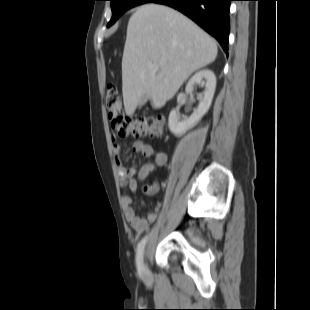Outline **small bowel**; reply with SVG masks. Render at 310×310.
<instances>
[{
	"label": "small bowel",
	"mask_w": 310,
	"mask_h": 310,
	"mask_svg": "<svg viewBox=\"0 0 310 310\" xmlns=\"http://www.w3.org/2000/svg\"><path fill=\"white\" fill-rule=\"evenodd\" d=\"M111 141L120 184L122 187L128 188L133 194L138 191L139 182L144 181L150 173L154 172L158 167L164 166L167 162L166 153L157 151L152 145L144 141L136 140L132 145L133 151L144 157L151 158L153 161L143 164L138 170L133 167H125L121 159V146L118 142L117 135H112ZM142 191L146 195H152L158 191V188L155 186L143 185ZM132 202L133 199L130 195H123L121 197V205L125 219L133 230L139 233L144 232L148 224L156 220L157 212L151 211L148 212L145 217H140L132 207Z\"/></svg>",
	"instance_id": "c3829d8e"
}]
</instances>
